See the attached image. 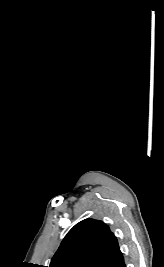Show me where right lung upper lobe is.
Masks as SVG:
<instances>
[{"label":"right lung upper lobe","mask_w":164,"mask_h":267,"mask_svg":"<svg viewBox=\"0 0 164 267\" xmlns=\"http://www.w3.org/2000/svg\"><path fill=\"white\" fill-rule=\"evenodd\" d=\"M118 251L117 239L106 224L85 219L65 236L50 267H99Z\"/></svg>","instance_id":"1"}]
</instances>
